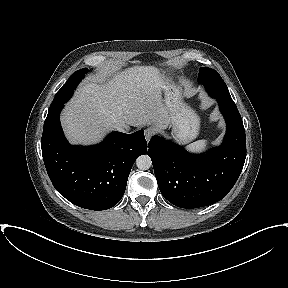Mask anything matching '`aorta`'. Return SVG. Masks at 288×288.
<instances>
[{
    "mask_svg": "<svg viewBox=\"0 0 288 288\" xmlns=\"http://www.w3.org/2000/svg\"><path fill=\"white\" fill-rule=\"evenodd\" d=\"M136 165L140 170H148L152 165L151 158L148 155H141L137 158Z\"/></svg>",
    "mask_w": 288,
    "mask_h": 288,
    "instance_id": "762f6f07",
    "label": "aorta"
}]
</instances>
